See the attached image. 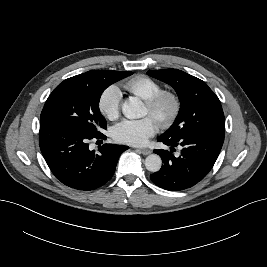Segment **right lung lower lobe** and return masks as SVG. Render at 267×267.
<instances>
[{
  "label": "right lung lower lobe",
  "instance_id": "right-lung-lower-lobe-1",
  "mask_svg": "<svg viewBox=\"0 0 267 267\" xmlns=\"http://www.w3.org/2000/svg\"><path fill=\"white\" fill-rule=\"evenodd\" d=\"M91 139L106 136H91L50 120L40 121L39 144L46 163L60 182L77 190H93L109 181L121 153L129 148L103 144L95 153L89 150Z\"/></svg>",
  "mask_w": 267,
  "mask_h": 267
}]
</instances>
